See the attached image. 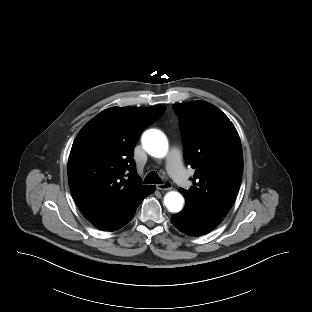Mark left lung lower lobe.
<instances>
[{
    "label": "left lung lower lobe",
    "mask_w": 312,
    "mask_h": 312,
    "mask_svg": "<svg viewBox=\"0 0 312 312\" xmlns=\"http://www.w3.org/2000/svg\"><path fill=\"white\" fill-rule=\"evenodd\" d=\"M220 219L187 202L183 211L171 217L173 225L181 232L194 236L210 232L220 223Z\"/></svg>",
    "instance_id": "1"
}]
</instances>
